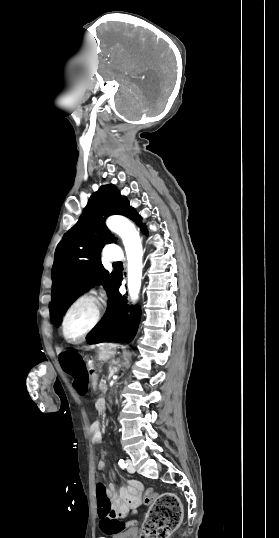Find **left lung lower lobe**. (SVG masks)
I'll list each match as a JSON object with an SVG mask.
<instances>
[{
	"label": "left lung lower lobe",
	"instance_id": "0a47b994",
	"mask_svg": "<svg viewBox=\"0 0 279 538\" xmlns=\"http://www.w3.org/2000/svg\"><path fill=\"white\" fill-rule=\"evenodd\" d=\"M142 232L147 235L146 227L143 228ZM120 284L121 279L118 277L113 289L115 310L101 329L87 335L88 343L131 342L135 336L139 324L140 310L129 306L125 297H121L118 291Z\"/></svg>",
	"mask_w": 279,
	"mask_h": 538
}]
</instances>
